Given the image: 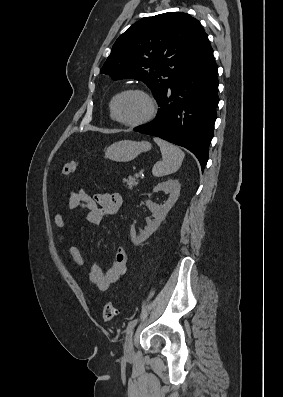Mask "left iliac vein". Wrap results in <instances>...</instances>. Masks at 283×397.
I'll list each match as a JSON object with an SVG mask.
<instances>
[{
  "label": "left iliac vein",
  "mask_w": 283,
  "mask_h": 397,
  "mask_svg": "<svg viewBox=\"0 0 283 397\" xmlns=\"http://www.w3.org/2000/svg\"><path fill=\"white\" fill-rule=\"evenodd\" d=\"M125 358L131 359L134 356V346H133V328L128 332V336L125 343Z\"/></svg>",
  "instance_id": "left-iliac-vein-1"
}]
</instances>
